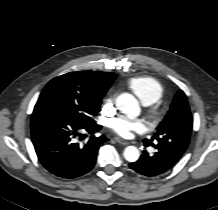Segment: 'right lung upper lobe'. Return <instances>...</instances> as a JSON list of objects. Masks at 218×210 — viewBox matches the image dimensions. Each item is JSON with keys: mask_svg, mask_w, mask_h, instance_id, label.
Masks as SVG:
<instances>
[{"mask_svg": "<svg viewBox=\"0 0 218 210\" xmlns=\"http://www.w3.org/2000/svg\"><path fill=\"white\" fill-rule=\"evenodd\" d=\"M115 73L101 71L70 72L59 76L71 86L92 95L103 97L116 78Z\"/></svg>", "mask_w": 218, "mask_h": 210, "instance_id": "1", "label": "right lung upper lobe"}]
</instances>
